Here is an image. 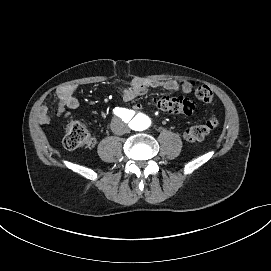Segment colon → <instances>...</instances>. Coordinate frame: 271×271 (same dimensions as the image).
<instances>
[{
    "label": "colon",
    "instance_id": "5ec220e1",
    "mask_svg": "<svg viewBox=\"0 0 271 271\" xmlns=\"http://www.w3.org/2000/svg\"><path fill=\"white\" fill-rule=\"evenodd\" d=\"M195 97L204 103H214L213 92L207 86H198ZM156 105L159 109L172 114H191L196 107V103L189 97L164 95L157 99ZM218 125L216 118H209L202 124L188 128L184 133V138L190 143L202 141L206 135L213 131ZM63 144L67 149H87L94 145V138L79 121H71L66 129Z\"/></svg>",
    "mask_w": 271,
    "mask_h": 271
}]
</instances>
